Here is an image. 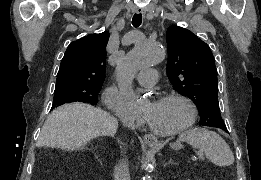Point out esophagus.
<instances>
[{
  "mask_svg": "<svg viewBox=\"0 0 261 180\" xmlns=\"http://www.w3.org/2000/svg\"><path fill=\"white\" fill-rule=\"evenodd\" d=\"M137 13H142L143 15L145 14V10L143 8H135L134 10ZM144 142L149 145L150 147H155L157 145H159V141L158 139L151 134H145L144 135Z\"/></svg>",
  "mask_w": 261,
  "mask_h": 180,
  "instance_id": "esophagus-1",
  "label": "esophagus"
}]
</instances>
